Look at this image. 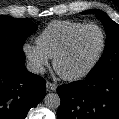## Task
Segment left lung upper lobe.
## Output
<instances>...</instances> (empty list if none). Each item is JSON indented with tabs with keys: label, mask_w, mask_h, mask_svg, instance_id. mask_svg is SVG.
I'll return each instance as SVG.
<instances>
[{
	"label": "left lung upper lobe",
	"mask_w": 119,
	"mask_h": 119,
	"mask_svg": "<svg viewBox=\"0 0 119 119\" xmlns=\"http://www.w3.org/2000/svg\"><path fill=\"white\" fill-rule=\"evenodd\" d=\"M81 13H95L97 18L103 23L107 35L103 55L90 72L104 74L119 66V25L100 10L92 9Z\"/></svg>",
	"instance_id": "5c2ea615"
}]
</instances>
